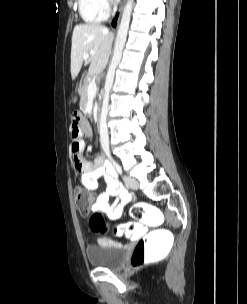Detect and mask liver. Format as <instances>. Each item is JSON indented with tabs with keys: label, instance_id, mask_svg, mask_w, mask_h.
I'll use <instances>...</instances> for the list:
<instances>
[{
	"label": "liver",
	"instance_id": "liver-1",
	"mask_svg": "<svg viewBox=\"0 0 247 304\" xmlns=\"http://www.w3.org/2000/svg\"><path fill=\"white\" fill-rule=\"evenodd\" d=\"M114 35L108 28L98 24L76 25L72 34L71 76L75 79L81 70L83 61L90 62L88 74L98 75L108 63ZM84 53H90L88 60Z\"/></svg>",
	"mask_w": 247,
	"mask_h": 304
}]
</instances>
